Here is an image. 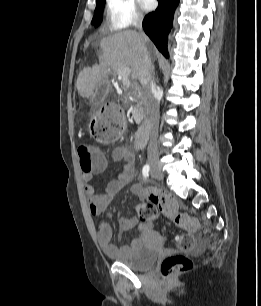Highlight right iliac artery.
I'll list each match as a JSON object with an SVG mask.
<instances>
[{"label":"right iliac artery","mask_w":261,"mask_h":306,"mask_svg":"<svg viewBox=\"0 0 261 306\" xmlns=\"http://www.w3.org/2000/svg\"><path fill=\"white\" fill-rule=\"evenodd\" d=\"M149 170H150V166L148 164H146L144 167H143V170H142V174H143V177L146 179L149 175Z\"/></svg>","instance_id":"right-iliac-artery-1"}]
</instances>
